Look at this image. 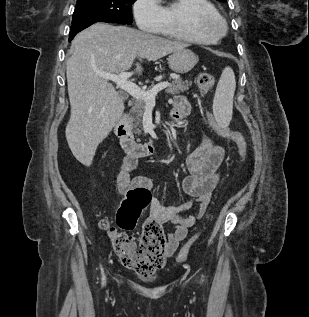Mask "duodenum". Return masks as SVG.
I'll list each match as a JSON object with an SVG mask.
<instances>
[{"label":"duodenum","instance_id":"1","mask_svg":"<svg viewBox=\"0 0 309 317\" xmlns=\"http://www.w3.org/2000/svg\"><path fill=\"white\" fill-rule=\"evenodd\" d=\"M115 134L119 138L120 145L127 156L142 158L153 154L155 150L154 141L149 139L143 143L135 141L130 127L129 115L124 113L115 125Z\"/></svg>","mask_w":309,"mask_h":317}]
</instances>
